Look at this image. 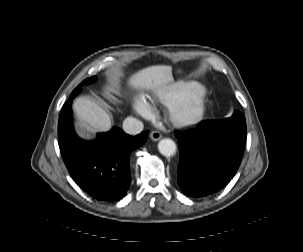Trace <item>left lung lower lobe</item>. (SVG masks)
<instances>
[{
	"mask_svg": "<svg viewBox=\"0 0 303 252\" xmlns=\"http://www.w3.org/2000/svg\"><path fill=\"white\" fill-rule=\"evenodd\" d=\"M175 136L180 150L178 184L188 196L202 197L226 186L236 173L244 152L246 123L206 120Z\"/></svg>",
	"mask_w": 303,
	"mask_h": 252,
	"instance_id": "left-lung-lower-lobe-1",
	"label": "left lung lower lobe"
}]
</instances>
